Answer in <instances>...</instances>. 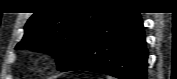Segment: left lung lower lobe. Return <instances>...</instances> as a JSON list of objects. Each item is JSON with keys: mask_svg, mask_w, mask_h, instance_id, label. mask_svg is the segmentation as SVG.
<instances>
[{"mask_svg": "<svg viewBox=\"0 0 177 79\" xmlns=\"http://www.w3.org/2000/svg\"><path fill=\"white\" fill-rule=\"evenodd\" d=\"M147 49L139 13L108 11L60 70H85L119 79H146Z\"/></svg>", "mask_w": 177, "mask_h": 79, "instance_id": "0a47b994", "label": "left lung lower lobe"}]
</instances>
